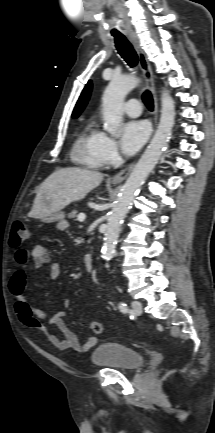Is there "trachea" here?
I'll use <instances>...</instances> for the list:
<instances>
[{"mask_svg": "<svg viewBox=\"0 0 215 433\" xmlns=\"http://www.w3.org/2000/svg\"><path fill=\"white\" fill-rule=\"evenodd\" d=\"M115 45L120 56L127 62L130 67H135L138 64V55L132 44L124 35H115ZM142 100L149 110H153V97L149 91H145L142 95Z\"/></svg>", "mask_w": 215, "mask_h": 433, "instance_id": "trachea-1", "label": "trachea"}]
</instances>
